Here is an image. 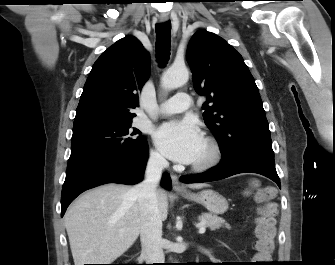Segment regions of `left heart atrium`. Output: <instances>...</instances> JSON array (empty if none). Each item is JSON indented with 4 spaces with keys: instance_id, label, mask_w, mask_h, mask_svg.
Listing matches in <instances>:
<instances>
[{
    "instance_id": "left-heart-atrium-1",
    "label": "left heart atrium",
    "mask_w": 335,
    "mask_h": 265,
    "mask_svg": "<svg viewBox=\"0 0 335 265\" xmlns=\"http://www.w3.org/2000/svg\"><path fill=\"white\" fill-rule=\"evenodd\" d=\"M154 139L165 156L185 164L195 161L204 141L198 127L188 119L162 124Z\"/></svg>"
}]
</instances>
